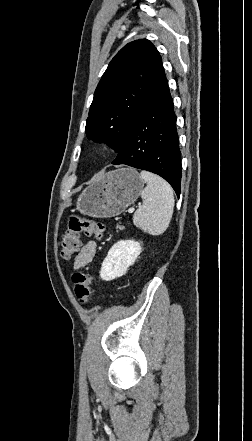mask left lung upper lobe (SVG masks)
<instances>
[{
    "label": "left lung upper lobe",
    "mask_w": 252,
    "mask_h": 441,
    "mask_svg": "<svg viewBox=\"0 0 252 441\" xmlns=\"http://www.w3.org/2000/svg\"><path fill=\"white\" fill-rule=\"evenodd\" d=\"M160 61L146 39L130 42L116 54L94 93L85 128L89 139L121 150Z\"/></svg>",
    "instance_id": "obj_1"
}]
</instances>
